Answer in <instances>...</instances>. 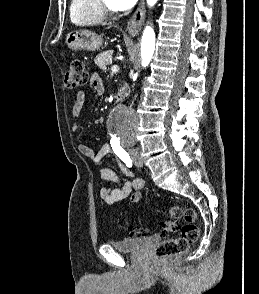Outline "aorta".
Returning <instances> with one entry per match:
<instances>
[{"mask_svg":"<svg viewBox=\"0 0 259 294\" xmlns=\"http://www.w3.org/2000/svg\"><path fill=\"white\" fill-rule=\"evenodd\" d=\"M148 6H154L158 0H146ZM155 50V32L151 26H146L141 40L142 66L149 65ZM138 114L127 107L116 108L110 117L108 131L112 138L119 141H134L139 126Z\"/></svg>","mask_w":259,"mask_h":294,"instance_id":"obj_1","label":"aorta"}]
</instances>
